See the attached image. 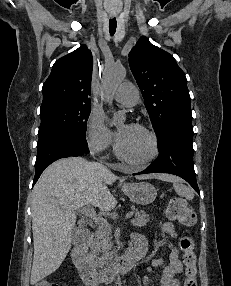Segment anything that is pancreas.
Wrapping results in <instances>:
<instances>
[{
  "mask_svg": "<svg viewBox=\"0 0 231 286\" xmlns=\"http://www.w3.org/2000/svg\"><path fill=\"white\" fill-rule=\"evenodd\" d=\"M149 221V216L144 211H136L134 219L131 220L133 226L143 227ZM111 228H98L92 235L90 242V252L87 257L88 262L94 268H103L112 259L114 252L111 251Z\"/></svg>",
  "mask_w": 231,
  "mask_h": 286,
  "instance_id": "1",
  "label": "pancreas"
}]
</instances>
